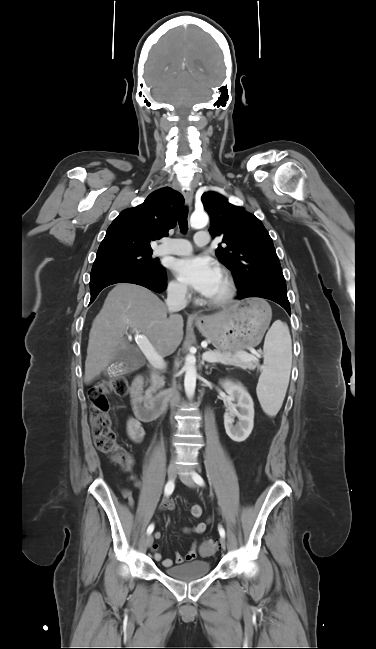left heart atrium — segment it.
I'll return each mask as SVG.
<instances>
[{
  "mask_svg": "<svg viewBox=\"0 0 376 649\" xmlns=\"http://www.w3.org/2000/svg\"><path fill=\"white\" fill-rule=\"evenodd\" d=\"M173 271L180 282L205 296L209 295L220 276L217 263L201 256L176 260Z\"/></svg>",
  "mask_w": 376,
  "mask_h": 649,
  "instance_id": "1",
  "label": "left heart atrium"
}]
</instances>
